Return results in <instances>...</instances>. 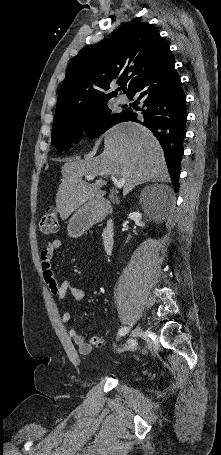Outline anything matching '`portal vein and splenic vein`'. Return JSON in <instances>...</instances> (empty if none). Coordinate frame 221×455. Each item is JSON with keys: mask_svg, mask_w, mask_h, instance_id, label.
Wrapping results in <instances>:
<instances>
[{"mask_svg": "<svg viewBox=\"0 0 221 455\" xmlns=\"http://www.w3.org/2000/svg\"><path fill=\"white\" fill-rule=\"evenodd\" d=\"M95 177H96V175H93V174L86 175L87 180H93ZM110 178L118 189H121L125 184L124 178H121L119 180L115 176H111Z\"/></svg>", "mask_w": 221, "mask_h": 455, "instance_id": "portal-vein-and-splenic-vein-1", "label": "portal vein and splenic vein"}]
</instances>
